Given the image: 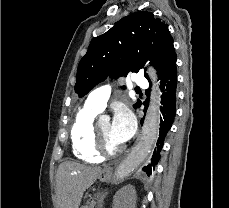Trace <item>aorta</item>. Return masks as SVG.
<instances>
[{"label":"aorta","instance_id":"762f6f07","mask_svg":"<svg viewBox=\"0 0 229 208\" xmlns=\"http://www.w3.org/2000/svg\"><path fill=\"white\" fill-rule=\"evenodd\" d=\"M148 74L153 82V88L149 107L142 128V134L135 148L117 168L114 175L116 180L129 176L146 160L158 135L160 123L161 91L157 82V73L153 67L148 68Z\"/></svg>","mask_w":229,"mask_h":208}]
</instances>
